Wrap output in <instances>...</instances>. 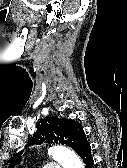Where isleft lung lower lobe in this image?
Returning a JSON list of instances; mask_svg holds the SVG:
<instances>
[{"mask_svg":"<svg viewBox=\"0 0 127 168\" xmlns=\"http://www.w3.org/2000/svg\"><path fill=\"white\" fill-rule=\"evenodd\" d=\"M77 154L83 159L86 168H91L94 165V161L91 155V146L87 140L81 144L77 150Z\"/></svg>","mask_w":127,"mask_h":168,"instance_id":"0a47b994","label":"left lung lower lobe"}]
</instances>
